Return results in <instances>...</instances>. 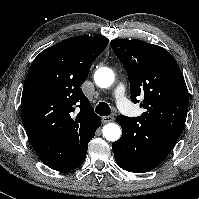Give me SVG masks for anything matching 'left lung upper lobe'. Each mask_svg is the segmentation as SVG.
<instances>
[{
    "instance_id": "left-lung-upper-lobe-1",
    "label": "left lung upper lobe",
    "mask_w": 199,
    "mask_h": 199,
    "mask_svg": "<svg viewBox=\"0 0 199 199\" xmlns=\"http://www.w3.org/2000/svg\"><path fill=\"white\" fill-rule=\"evenodd\" d=\"M111 47L127 71L131 100L145 109L139 120L180 137L189 94L182 72L164 48L141 40H112Z\"/></svg>"
}]
</instances>
